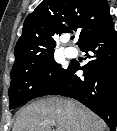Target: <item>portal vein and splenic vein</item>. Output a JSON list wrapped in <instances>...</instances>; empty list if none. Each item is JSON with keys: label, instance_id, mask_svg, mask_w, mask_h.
Returning <instances> with one entry per match:
<instances>
[{"label": "portal vein and splenic vein", "instance_id": "obj_1", "mask_svg": "<svg viewBox=\"0 0 117 131\" xmlns=\"http://www.w3.org/2000/svg\"><path fill=\"white\" fill-rule=\"evenodd\" d=\"M43 124H51V125H55L54 122H52V121H45V122H43Z\"/></svg>", "mask_w": 117, "mask_h": 131}]
</instances>
